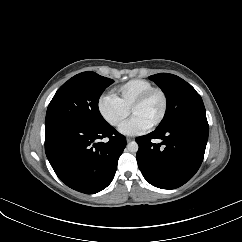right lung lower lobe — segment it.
Segmentation results:
<instances>
[{"label":"right lung lower lobe","instance_id":"98d812e1","mask_svg":"<svg viewBox=\"0 0 242 242\" xmlns=\"http://www.w3.org/2000/svg\"><path fill=\"white\" fill-rule=\"evenodd\" d=\"M105 137L107 143L99 142ZM125 146V136L108 123L45 125V152L53 170L63 183L82 193H97L111 183Z\"/></svg>","mask_w":242,"mask_h":242}]
</instances>
